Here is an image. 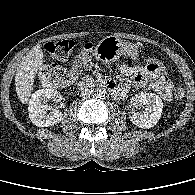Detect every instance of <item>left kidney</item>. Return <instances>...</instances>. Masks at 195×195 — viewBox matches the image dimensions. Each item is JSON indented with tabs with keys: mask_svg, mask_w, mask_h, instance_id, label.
Masks as SVG:
<instances>
[{
	"mask_svg": "<svg viewBox=\"0 0 195 195\" xmlns=\"http://www.w3.org/2000/svg\"><path fill=\"white\" fill-rule=\"evenodd\" d=\"M132 106H142V112H136L131 116V122L140 128H151L157 124L161 117L163 103L159 96L153 93L141 92L131 99Z\"/></svg>",
	"mask_w": 195,
	"mask_h": 195,
	"instance_id": "left-kidney-1",
	"label": "left kidney"
}]
</instances>
